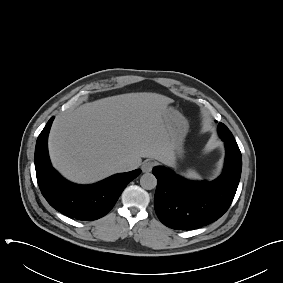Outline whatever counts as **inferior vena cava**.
Segmentation results:
<instances>
[{"label":"inferior vena cava","mask_w":283,"mask_h":283,"mask_svg":"<svg viewBox=\"0 0 283 283\" xmlns=\"http://www.w3.org/2000/svg\"><path fill=\"white\" fill-rule=\"evenodd\" d=\"M120 172L130 171L136 168L135 164L128 160H121L117 163Z\"/></svg>","instance_id":"obj_1"}]
</instances>
